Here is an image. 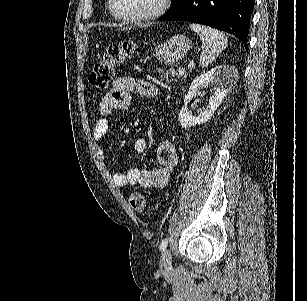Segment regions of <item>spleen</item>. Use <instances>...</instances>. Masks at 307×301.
I'll return each instance as SVG.
<instances>
[{"mask_svg":"<svg viewBox=\"0 0 307 301\" xmlns=\"http://www.w3.org/2000/svg\"><path fill=\"white\" fill-rule=\"evenodd\" d=\"M190 28L199 34L203 42L204 48L200 54V64L203 68L209 66L219 56L220 52L225 50L228 38L221 30L204 26V24H190Z\"/></svg>","mask_w":307,"mask_h":301,"instance_id":"spleen-1","label":"spleen"}]
</instances>
